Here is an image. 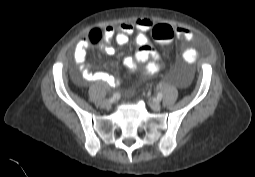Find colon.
<instances>
[{
  "label": "colon",
  "mask_w": 255,
  "mask_h": 177,
  "mask_svg": "<svg viewBox=\"0 0 255 177\" xmlns=\"http://www.w3.org/2000/svg\"><path fill=\"white\" fill-rule=\"evenodd\" d=\"M174 30L172 26L168 23H159L155 25L152 29L153 38L161 44V46H168L169 42L174 37ZM102 37V33L99 31H91L87 38L90 43H97Z\"/></svg>",
  "instance_id": "1"
}]
</instances>
